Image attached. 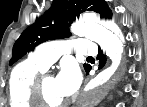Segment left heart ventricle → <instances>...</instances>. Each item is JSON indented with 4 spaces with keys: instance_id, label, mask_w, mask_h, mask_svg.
I'll use <instances>...</instances> for the list:
<instances>
[{
    "instance_id": "b2bd125f",
    "label": "left heart ventricle",
    "mask_w": 147,
    "mask_h": 107,
    "mask_svg": "<svg viewBox=\"0 0 147 107\" xmlns=\"http://www.w3.org/2000/svg\"><path fill=\"white\" fill-rule=\"evenodd\" d=\"M43 96L46 102L55 104L66 100V97L61 95L56 86V79L48 77L43 83Z\"/></svg>"
}]
</instances>
